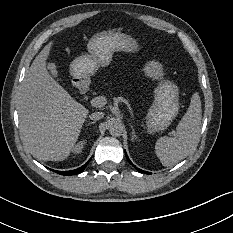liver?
I'll use <instances>...</instances> for the list:
<instances>
[{
	"instance_id": "1",
	"label": "liver",
	"mask_w": 233,
	"mask_h": 233,
	"mask_svg": "<svg viewBox=\"0 0 233 233\" xmlns=\"http://www.w3.org/2000/svg\"><path fill=\"white\" fill-rule=\"evenodd\" d=\"M52 42L35 57L18 98L19 128L30 153L44 161H63L78 140L89 110L48 72Z\"/></svg>"
}]
</instances>
